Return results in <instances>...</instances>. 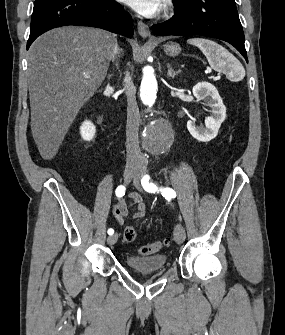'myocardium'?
<instances>
[{"mask_svg":"<svg viewBox=\"0 0 285 335\" xmlns=\"http://www.w3.org/2000/svg\"><path fill=\"white\" fill-rule=\"evenodd\" d=\"M172 1H160L162 7L164 8H167L170 4H171Z\"/></svg>","mask_w":285,"mask_h":335,"instance_id":"1","label":"myocardium"}]
</instances>
